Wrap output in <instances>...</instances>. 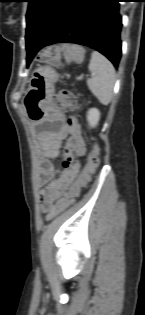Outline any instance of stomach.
<instances>
[{
    "instance_id": "stomach-1",
    "label": "stomach",
    "mask_w": 145,
    "mask_h": 315,
    "mask_svg": "<svg viewBox=\"0 0 145 315\" xmlns=\"http://www.w3.org/2000/svg\"><path fill=\"white\" fill-rule=\"evenodd\" d=\"M58 72H33L32 85L24 94V105H27L26 116L29 122H49L50 116H57V109L46 104L50 91H54Z\"/></svg>"
}]
</instances>
